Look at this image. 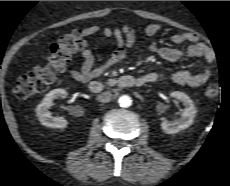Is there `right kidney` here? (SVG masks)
Listing matches in <instances>:
<instances>
[{"label": "right kidney", "mask_w": 230, "mask_h": 186, "mask_svg": "<svg viewBox=\"0 0 230 186\" xmlns=\"http://www.w3.org/2000/svg\"><path fill=\"white\" fill-rule=\"evenodd\" d=\"M64 89H54L50 91L36 108V114L40 123L46 127L63 129L66 128L68 122L63 117H54L49 111L53 104V100L66 96Z\"/></svg>", "instance_id": "ca27d5eb"}]
</instances>
